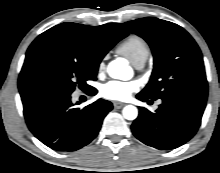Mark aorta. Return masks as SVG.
<instances>
[{
  "label": "aorta",
  "mask_w": 220,
  "mask_h": 173,
  "mask_svg": "<svg viewBox=\"0 0 220 173\" xmlns=\"http://www.w3.org/2000/svg\"><path fill=\"white\" fill-rule=\"evenodd\" d=\"M107 71L114 79L128 80L131 77V69L124 60H113L109 63ZM122 113L127 120H135L138 116V110L133 105L125 106Z\"/></svg>",
  "instance_id": "1"
}]
</instances>
